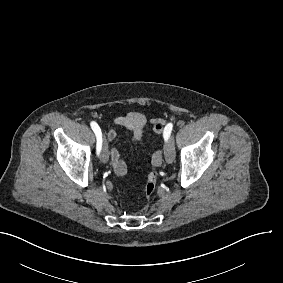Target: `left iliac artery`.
Instances as JSON below:
<instances>
[{"label": "left iliac artery", "instance_id": "left-iliac-artery-1", "mask_svg": "<svg viewBox=\"0 0 283 283\" xmlns=\"http://www.w3.org/2000/svg\"><path fill=\"white\" fill-rule=\"evenodd\" d=\"M172 127H173L172 123L167 124L166 127H165L164 133H163V137H164L165 141H167L168 138L170 137Z\"/></svg>", "mask_w": 283, "mask_h": 283}]
</instances>
